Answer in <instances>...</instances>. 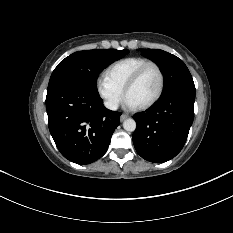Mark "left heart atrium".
I'll return each instance as SVG.
<instances>
[{
    "mask_svg": "<svg viewBox=\"0 0 233 233\" xmlns=\"http://www.w3.org/2000/svg\"><path fill=\"white\" fill-rule=\"evenodd\" d=\"M125 105H126V107H128V108H136L137 106H136V104L134 103V102H132L130 99H128V98H126V100H125Z\"/></svg>",
    "mask_w": 233,
    "mask_h": 233,
    "instance_id": "obj_1",
    "label": "left heart atrium"
}]
</instances>
